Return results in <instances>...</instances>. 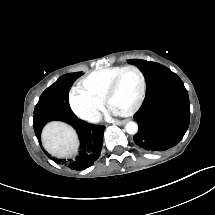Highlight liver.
Here are the masks:
<instances>
[{
  "label": "liver",
  "mask_w": 215,
  "mask_h": 215,
  "mask_svg": "<svg viewBox=\"0 0 215 215\" xmlns=\"http://www.w3.org/2000/svg\"><path fill=\"white\" fill-rule=\"evenodd\" d=\"M41 143L45 151L56 159H76L80 137L74 127L64 121L52 120L41 130Z\"/></svg>",
  "instance_id": "liver-1"
}]
</instances>
